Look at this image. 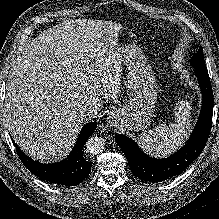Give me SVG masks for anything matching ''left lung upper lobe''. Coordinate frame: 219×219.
I'll return each mask as SVG.
<instances>
[{
  "mask_svg": "<svg viewBox=\"0 0 219 219\" xmlns=\"http://www.w3.org/2000/svg\"><path fill=\"white\" fill-rule=\"evenodd\" d=\"M190 64L194 68L204 69L207 70L205 62H204V55H203V48L201 47L198 52L190 59Z\"/></svg>",
  "mask_w": 219,
  "mask_h": 219,
  "instance_id": "5c2ea615",
  "label": "left lung upper lobe"
}]
</instances>
